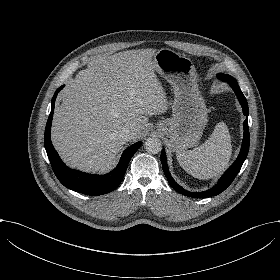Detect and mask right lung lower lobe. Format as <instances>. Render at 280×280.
I'll return each mask as SVG.
<instances>
[{"mask_svg": "<svg viewBox=\"0 0 280 280\" xmlns=\"http://www.w3.org/2000/svg\"><path fill=\"white\" fill-rule=\"evenodd\" d=\"M63 88L61 86L58 88L52 98L51 113L47 120L45 135H44V145L50 160L52 169L58 178V180L67 188L91 196H98L102 194L109 193L116 189L122 182L124 174L126 172L127 166L130 159L141 146V142H137L127 148L120 159L117 167L106 175H92L68 168L60 159L56 150L54 149L51 139L50 130L52 117L54 112L55 99L58 92Z\"/></svg>", "mask_w": 280, "mask_h": 280, "instance_id": "obj_1", "label": "right lung lower lobe"}]
</instances>
